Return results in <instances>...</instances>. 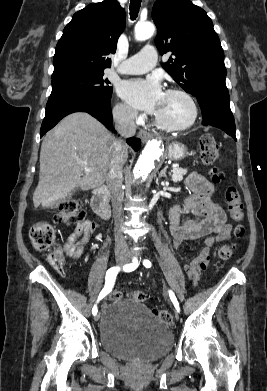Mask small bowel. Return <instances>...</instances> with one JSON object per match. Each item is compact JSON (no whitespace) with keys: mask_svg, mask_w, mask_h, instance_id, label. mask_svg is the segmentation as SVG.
<instances>
[{"mask_svg":"<svg viewBox=\"0 0 267 391\" xmlns=\"http://www.w3.org/2000/svg\"><path fill=\"white\" fill-rule=\"evenodd\" d=\"M186 185L192 194L170 213L172 247L176 250L186 241L215 234L205 239V246L200 254L184 266L189 280L196 285L210 262L212 248L217 242L230 238L232 227L227 223L222 206L213 197V185L206 178L193 172L187 177ZM183 210L193 212L198 219L180 223L179 217ZM96 227L90 220L80 221L68 235L62 248L63 254L72 259L80 258Z\"/></svg>","mask_w":267,"mask_h":391,"instance_id":"c3829d8e","label":"small bowel"}]
</instances>
